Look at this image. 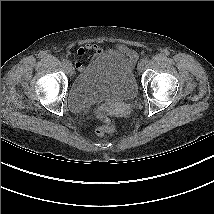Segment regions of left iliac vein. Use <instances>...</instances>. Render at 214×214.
Returning a JSON list of instances; mask_svg holds the SVG:
<instances>
[{
  "label": "left iliac vein",
  "mask_w": 214,
  "mask_h": 214,
  "mask_svg": "<svg viewBox=\"0 0 214 214\" xmlns=\"http://www.w3.org/2000/svg\"><path fill=\"white\" fill-rule=\"evenodd\" d=\"M144 65L145 63L143 61H140L137 66L138 71H142L144 69Z\"/></svg>",
  "instance_id": "4c4485c4"
}]
</instances>
